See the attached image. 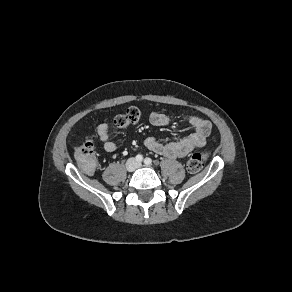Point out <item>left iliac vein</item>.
Returning <instances> with one entry per match:
<instances>
[{
  "label": "left iliac vein",
  "mask_w": 292,
  "mask_h": 292,
  "mask_svg": "<svg viewBox=\"0 0 292 292\" xmlns=\"http://www.w3.org/2000/svg\"><path fill=\"white\" fill-rule=\"evenodd\" d=\"M141 166H142V164H141V163H139V164H138V167H141Z\"/></svg>",
  "instance_id": "left-iliac-vein-1"
}]
</instances>
